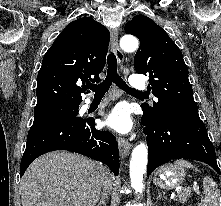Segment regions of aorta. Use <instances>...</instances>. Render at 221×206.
<instances>
[{
  "label": "aorta",
  "instance_id": "1",
  "mask_svg": "<svg viewBox=\"0 0 221 206\" xmlns=\"http://www.w3.org/2000/svg\"><path fill=\"white\" fill-rule=\"evenodd\" d=\"M138 46V39L133 35H124L120 39V47L126 52L136 51ZM147 162V146L145 143H140L133 149L130 160L131 186L138 193H142L144 188L143 177L146 173Z\"/></svg>",
  "mask_w": 221,
  "mask_h": 206
}]
</instances>
